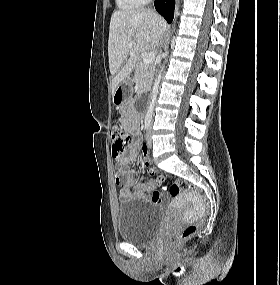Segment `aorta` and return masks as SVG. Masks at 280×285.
Listing matches in <instances>:
<instances>
[{
  "label": "aorta",
  "instance_id": "aorta-1",
  "mask_svg": "<svg viewBox=\"0 0 280 285\" xmlns=\"http://www.w3.org/2000/svg\"><path fill=\"white\" fill-rule=\"evenodd\" d=\"M178 16H179V0L176 1V7H175V12H174V22ZM166 56H167V53H166ZM164 67H165L164 65L161 67V70L159 71V74L157 75L154 85H153L151 101H150L148 111H147V116L149 117H151L154 112L155 102H156L157 95L159 92V85H160V81L162 78V72L164 70Z\"/></svg>",
  "mask_w": 280,
  "mask_h": 285
}]
</instances>
